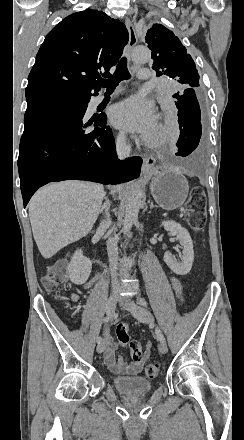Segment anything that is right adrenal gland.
<instances>
[{"label":"right adrenal gland","instance_id":"1","mask_svg":"<svg viewBox=\"0 0 244 440\" xmlns=\"http://www.w3.org/2000/svg\"><path fill=\"white\" fill-rule=\"evenodd\" d=\"M103 210H104V206H102V208H101L99 214H101V212H103Z\"/></svg>","mask_w":244,"mask_h":440}]
</instances>
